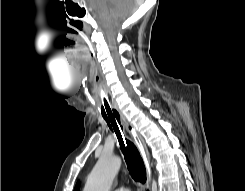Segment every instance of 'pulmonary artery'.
<instances>
[{
  "mask_svg": "<svg viewBox=\"0 0 245 191\" xmlns=\"http://www.w3.org/2000/svg\"><path fill=\"white\" fill-rule=\"evenodd\" d=\"M116 191H130V189H128V188H120V189H117Z\"/></svg>",
  "mask_w": 245,
  "mask_h": 191,
  "instance_id": "pulmonary-artery-1",
  "label": "pulmonary artery"
}]
</instances>
